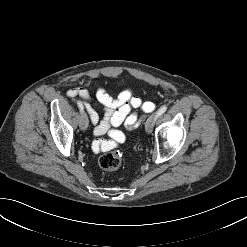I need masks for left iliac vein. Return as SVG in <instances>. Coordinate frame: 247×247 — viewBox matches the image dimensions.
Segmentation results:
<instances>
[{
    "label": "left iliac vein",
    "mask_w": 247,
    "mask_h": 247,
    "mask_svg": "<svg viewBox=\"0 0 247 247\" xmlns=\"http://www.w3.org/2000/svg\"><path fill=\"white\" fill-rule=\"evenodd\" d=\"M156 120H157V113L149 116V118L147 119V121L145 123V130L147 133L152 132Z\"/></svg>",
    "instance_id": "1"
}]
</instances>
